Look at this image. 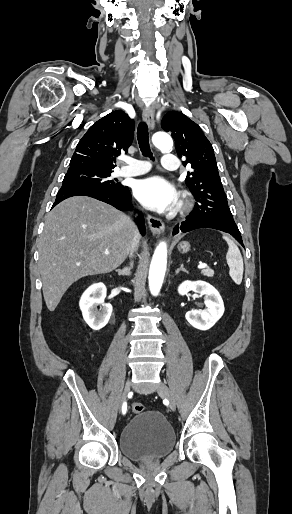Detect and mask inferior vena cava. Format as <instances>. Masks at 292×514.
<instances>
[{
	"label": "inferior vena cava",
	"instance_id": "obj_1",
	"mask_svg": "<svg viewBox=\"0 0 292 514\" xmlns=\"http://www.w3.org/2000/svg\"><path fill=\"white\" fill-rule=\"evenodd\" d=\"M139 242H140V234H139L138 230H136V236L133 240V244H132L131 250H130L131 256H132V254H134V252H136V250L139 246Z\"/></svg>",
	"mask_w": 292,
	"mask_h": 514
}]
</instances>
